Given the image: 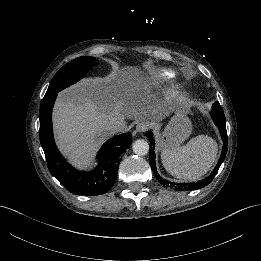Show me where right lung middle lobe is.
<instances>
[{"mask_svg":"<svg viewBox=\"0 0 261 261\" xmlns=\"http://www.w3.org/2000/svg\"><path fill=\"white\" fill-rule=\"evenodd\" d=\"M96 65H98V61L94 57L86 56L68 62L55 74L44 98L76 83L84 77L92 66Z\"/></svg>","mask_w":261,"mask_h":261,"instance_id":"obj_1","label":"right lung middle lobe"}]
</instances>
